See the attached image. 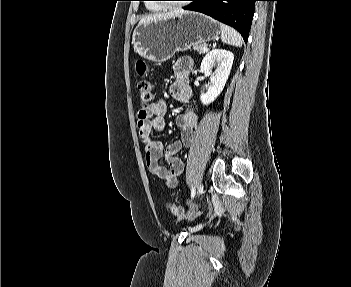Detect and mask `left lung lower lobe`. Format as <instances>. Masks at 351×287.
Listing matches in <instances>:
<instances>
[{
	"label": "left lung lower lobe",
	"mask_w": 351,
	"mask_h": 287,
	"mask_svg": "<svg viewBox=\"0 0 351 287\" xmlns=\"http://www.w3.org/2000/svg\"><path fill=\"white\" fill-rule=\"evenodd\" d=\"M193 3L185 7L204 13L212 18L236 28L245 42L248 40L250 27L257 0H191Z\"/></svg>",
	"instance_id": "obj_1"
}]
</instances>
